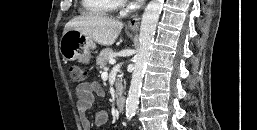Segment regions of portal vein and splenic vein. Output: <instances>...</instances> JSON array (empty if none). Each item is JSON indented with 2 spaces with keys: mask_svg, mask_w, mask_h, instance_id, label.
Returning a JSON list of instances; mask_svg holds the SVG:
<instances>
[{
  "mask_svg": "<svg viewBox=\"0 0 257 130\" xmlns=\"http://www.w3.org/2000/svg\"><path fill=\"white\" fill-rule=\"evenodd\" d=\"M109 63H110L111 65H113V64L116 63V61H115V59H110V60H109Z\"/></svg>",
  "mask_w": 257,
  "mask_h": 130,
  "instance_id": "18ae733b",
  "label": "portal vein and splenic vein"
}]
</instances>
